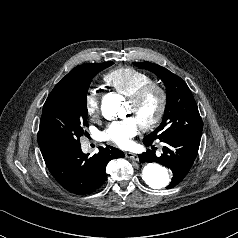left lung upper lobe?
Instances as JSON below:
<instances>
[{"instance_id": "obj_1", "label": "left lung upper lobe", "mask_w": 238, "mask_h": 238, "mask_svg": "<svg viewBox=\"0 0 238 238\" xmlns=\"http://www.w3.org/2000/svg\"><path fill=\"white\" fill-rule=\"evenodd\" d=\"M135 66L156 74L165 84L167 101L160 126L145 137L149 141L180 134L201 136L203 123L195 99L187 84L164 67L150 62H134Z\"/></svg>"}]
</instances>
